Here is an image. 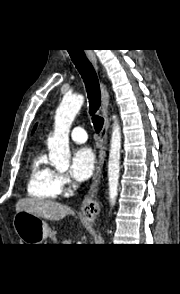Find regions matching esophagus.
Listing matches in <instances>:
<instances>
[{"instance_id": "esophagus-1", "label": "esophagus", "mask_w": 180, "mask_h": 294, "mask_svg": "<svg viewBox=\"0 0 180 294\" xmlns=\"http://www.w3.org/2000/svg\"><path fill=\"white\" fill-rule=\"evenodd\" d=\"M87 58L93 64V66L98 70L97 57L92 50L86 51ZM101 111L104 117V125L100 133L99 142V156L95 165V171L90 184L88 193L84 199L83 204V215L84 217L92 222L100 213V204L97 200V193L99 190L100 179L102 175V168L104 162V156L106 151V143L109 129V117H108V104H109V92L107 86L101 81Z\"/></svg>"}]
</instances>
